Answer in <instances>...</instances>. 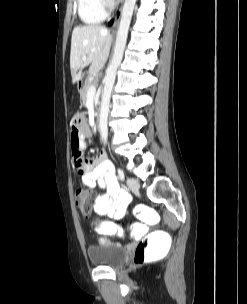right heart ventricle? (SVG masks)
<instances>
[{"label":"right heart ventricle","instance_id":"e07e8e85","mask_svg":"<svg viewBox=\"0 0 247 304\" xmlns=\"http://www.w3.org/2000/svg\"><path fill=\"white\" fill-rule=\"evenodd\" d=\"M77 12L81 22L85 25L99 24L107 16L101 0H77Z\"/></svg>","mask_w":247,"mask_h":304}]
</instances>
